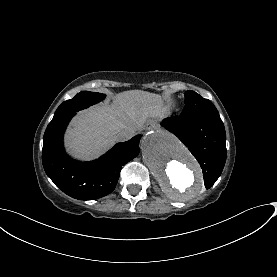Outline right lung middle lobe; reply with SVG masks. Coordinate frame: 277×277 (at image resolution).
Instances as JSON below:
<instances>
[{
  "instance_id": "1",
  "label": "right lung middle lobe",
  "mask_w": 277,
  "mask_h": 277,
  "mask_svg": "<svg viewBox=\"0 0 277 277\" xmlns=\"http://www.w3.org/2000/svg\"><path fill=\"white\" fill-rule=\"evenodd\" d=\"M105 98L104 94L82 91L73 99L63 102L56 110L52 121H55L69 113H74L84 108H87L95 103L100 102Z\"/></svg>"
}]
</instances>
